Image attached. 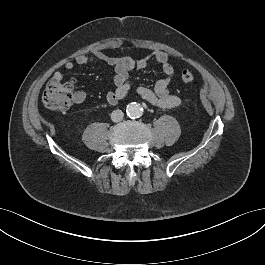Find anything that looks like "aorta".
Masks as SVG:
<instances>
[{
    "mask_svg": "<svg viewBox=\"0 0 265 265\" xmlns=\"http://www.w3.org/2000/svg\"><path fill=\"white\" fill-rule=\"evenodd\" d=\"M143 109L139 103L132 102L126 106L127 116L130 118H138L142 115Z\"/></svg>",
    "mask_w": 265,
    "mask_h": 265,
    "instance_id": "obj_1",
    "label": "aorta"
}]
</instances>
